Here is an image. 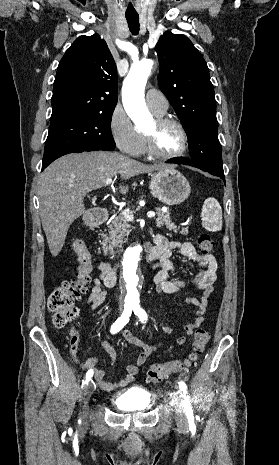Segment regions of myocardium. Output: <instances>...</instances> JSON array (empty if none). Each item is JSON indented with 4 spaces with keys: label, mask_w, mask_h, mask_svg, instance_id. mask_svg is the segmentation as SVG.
<instances>
[{
    "label": "myocardium",
    "mask_w": 279,
    "mask_h": 465,
    "mask_svg": "<svg viewBox=\"0 0 279 465\" xmlns=\"http://www.w3.org/2000/svg\"><path fill=\"white\" fill-rule=\"evenodd\" d=\"M154 122L157 128H161L167 125L176 126L181 134L182 144L180 149L174 153H162L156 147L155 133L145 132L143 135L145 139L146 151L151 156L161 160H172L182 157L186 153L189 144L188 134L184 125L179 120L168 116H159L155 119Z\"/></svg>",
    "instance_id": "obj_1"
}]
</instances>
